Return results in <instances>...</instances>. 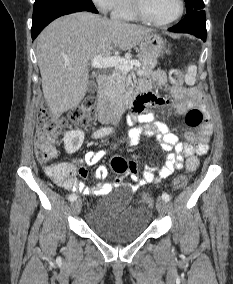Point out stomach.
Returning <instances> with one entry per match:
<instances>
[{
    "mask_svg": "<svg viewBox=\"0 0 233 284\" xmlns=\"http://www.w3.org/2000/svg\"><path fill=\"white\" fill-rule=\"evenodd\" d=\"M141 55L156 61L163 54L166 42L156 33H148L139 43Z\"/></svg>",
    "mask_w": 233,
    "mask_h": 284,
    "instance_id": "stomach-1",
    "label": "stomach"
}]
</instances>
